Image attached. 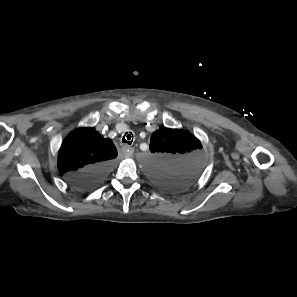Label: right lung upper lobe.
I'll return each instance as SVG.
<instances>
[{
	"label": "right lung upper lobe",
	"instance_id": "right-lung-upper-lobe-1",
	"mask_svg": "<svg viewBox=\"0 0 297 297\" xmlns=\"http://www.w3.org/2000/svg\"><path fill=\"white\" fill-rule=\"evenodd\" d=\"M117 150L112 140L103 138L93 128H80L63 142L58 158L61 175L67 178L100 163H112Z\"/></svg>",
	"mask_w": 297,
	"mask_h": 297
}]
</instances>
